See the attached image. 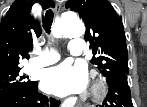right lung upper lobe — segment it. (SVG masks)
<instances>
[{"label": "right lung upper lobe", "mask_w": 147, "mask_h": 107, "mask_svg": "<svg viewBox=\"0 0 147 107\" xmlns=\"http://www.w3.org/2000/svg\"><path fill=\"white\" fill-rule=\"evenodd\" d=\"M43 9L54 7L52 0H15L0 24V70L19 65L29 58L33 41L42 33L40 24L31 17L34 3Z\"/></svg>", "instance_id": "obj_1"}]
</instances>
